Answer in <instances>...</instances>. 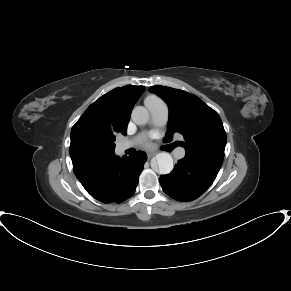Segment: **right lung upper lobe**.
Wrapping results in <instances>:
<instances>
[{"mask_svg": "<svg viewBox=\"0 0 291 291\" xmlns=\"http://www.w3.org/2000/svg\"><path fill=\"white\" fill-rule=\"evenodd\" d=\"M144 86L118 87L91 104L71 130L72 163L114 155L115 135H126L128 121Z\"/></svg>", "mask_w": 291, "mask_h": 291, "instance_id": "1", "label": "right lung upper lobe"}]
</instances>
